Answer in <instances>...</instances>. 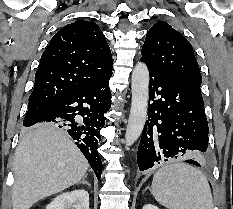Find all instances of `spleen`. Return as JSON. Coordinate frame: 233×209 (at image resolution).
Returning <instances> with one entry per match:
<instances>
[{
    "mask_svg": "<svg viewBox=\"0 0 233 209\" xmlns=\"http://www.w3.org/2000/svg\"><path fill=\"white\" fill-rule=\"evenodd\" d=\"M152 194L168 209H213L207 178L195 167L184 163L160 168L153 177Z\"/></svg>",
    "mask_w": 233,
    "mask_h": 209,
    "instance_id": "spleen-1",
    "label": "spleen"
}]
</instances>
